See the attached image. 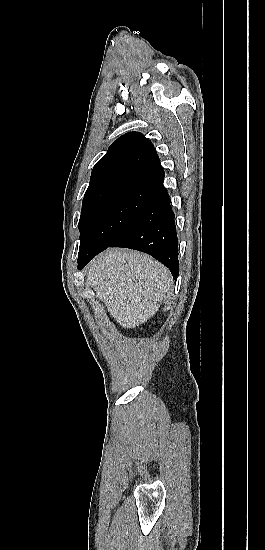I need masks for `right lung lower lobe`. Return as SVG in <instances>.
Here are the masks:
<instances>
[{
    "label": "right lung lower lobe",
    "instance_id": "right-lung-lower-lobe-1",
    "mask_svg": "<svg viewBox=\"0 0 265 550\" xmlns=\"http://www.w3.org/2000/svg\"><path fill=\"white\" fill-rule=\"evenodd\" d=\"M108 247H125L145 252L168 267L173 278L177 279L179 273L178 240L169 195L163 184L147 210ZM103 250L80 257L78 269H82Z\"/></svg>",
    "mask_w": 265,
    "mask_h": 550
}]
</instances>
